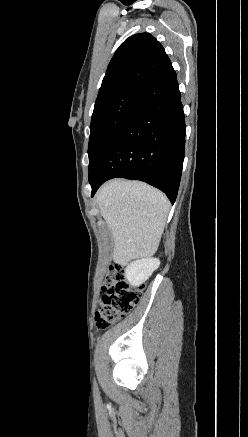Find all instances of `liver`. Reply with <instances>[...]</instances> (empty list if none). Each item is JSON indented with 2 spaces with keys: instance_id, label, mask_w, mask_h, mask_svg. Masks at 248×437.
<instances>
[{
  "instance_id": "liver-1",
  "label": "liver",
  "mask_w": 248,
  "mask_h": 437,
  "mask_svg": "<svg viewBox=\"0 0 248 437\" xmlns=\"http://www.w3.org/2000/svg\"><path fill=\"white\" fill-rule=\"evenodd\" d=\"M96 201L112 232L115 262L126 264L157 251L170 208L161 191L143 182L114 179L98 190Z\"/></svg>"
}]
</instances>
